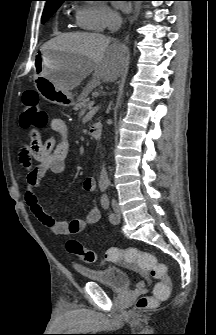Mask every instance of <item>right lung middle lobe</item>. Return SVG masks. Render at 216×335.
<instances>
[{
  "mask_svg": "<svg viewBox=\"0 0 216 335\" xmlns=\"http://www.w3.org/2000/svg\"><path fill=\"white\" fill-rule=\"evenodd\" d=\"M61 4L57 3L45 6L41 19L42 23L46 22L54 14Z\"/></svg>",
  "mask_w": 216,
  "mask_h": 335,
  "instance_id": "dd1d6c3e",
  "label": "right lung middle lobe"
}]
</instances>
